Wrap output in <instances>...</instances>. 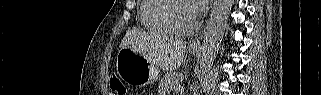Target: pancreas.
<instances>
[{"label": "pancreas", "instance_id": "pancreas-1", "mask_svg": "<svg viewBox=\"0 0 321 95\" xmlns=\"http://www.w3.org/2000/svg\"><path fill=\"white\" fill-rule=\"evenodd\" d=\"M183 75L179 72H169L159 82V92L163 94L166 91L173 90L180 86Z\"/></svg>", "mask_w": 321, "mask_h": 95}]
</instances>
